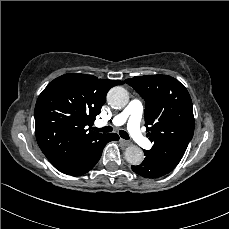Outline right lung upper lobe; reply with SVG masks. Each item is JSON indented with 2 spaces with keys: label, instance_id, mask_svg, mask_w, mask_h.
Listing matches in <instances>:
<instances>
[{
  "label": "right lung upper lobe",
  "instance_id": "obj_1",
  "mask_svg": "<svg viewBox=\"0 0 229 229\" xmlns=\"http://www.w3.org/2000/svg\"><path fill=\"white\" fill-rule=\"evenodd\" d=\"M121 84L120 80L69 73L42 91L35 106L36 139L56 169L67 167L99 139L102 134L85 127L93 125L109 89Z\"/></svg>",
  "mask_w": 229,
  "mask_h": 229
}]
</instances>
